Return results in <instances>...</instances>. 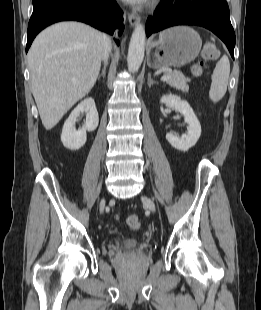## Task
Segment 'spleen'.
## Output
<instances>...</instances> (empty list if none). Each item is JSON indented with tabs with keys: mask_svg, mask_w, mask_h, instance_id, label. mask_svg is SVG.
I'll list each match as a JSON object with an SVG mask.
<instances>
[{
	"mask_svg": "<svg viewBox=\"0 0 261 310\" xmlns=\"http://www.w3.org/2000/svg\"><path fill=\"white\" fill-rule=\"evenodd\" d=\"M230 75V63L226 55H224L216 64L211 77V88L209 98L214 102L220 101L227 91V85Z\"/></svg>",
	"mask_w": 261,
	"mask_h": 310,
	"instance_id": "1",
	"label": "spleen"
}]
</instances>
